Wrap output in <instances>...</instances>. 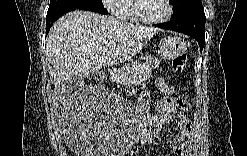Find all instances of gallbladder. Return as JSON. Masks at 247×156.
Segmentation results:
<instances>
[{"label":"gallbladder","mask_w":247,"mask_h":156,"mask_svg":"<svg viewBox=\"0 0 247 156\" xmlns=\"http://www.w3.org/2000/svg\"><path fill=\"white\" fill-rule=\"evenodd\" d=\"M78 84H81L78 77L76 76L70 77V79L65 81L63 84L64 93H68Z\"/></svg>","instance_id":"1"}]
</instances>
